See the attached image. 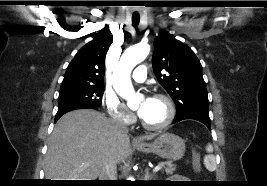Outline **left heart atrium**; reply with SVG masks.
<instances>
[{
    "mask_svg": "<svg viewBox=\"0 0 267 186\" xmlns=\"http://www.w3.org/2000/svg\"><path fill=\"white\" fill-rule=\"evenodd\" d=\"M151 101H152V98L147 97L140 104L139 109H138V114L141 118H143L146 115L148 108L151 104Z\"/></svg>",
    "mask_w": 267,
    "mask_h": 186,
    "instance_id": "1",
    "label": "left heart atrium"
}]
</instances>
